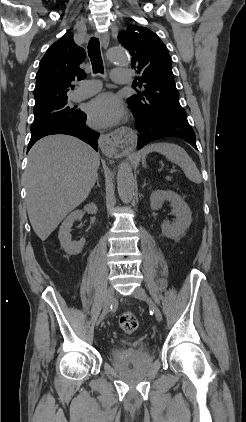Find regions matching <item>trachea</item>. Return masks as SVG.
<instances>
[{"label": "trachea", "instance_id": "1", "mask_svg": "<svg viewBox=\"0 0 246 422\" xmlns=\"http://www.w3.org/2000/svg\"><path fill=\"white\" fill-rule=\"evenodd\" d=\"M88 55L92 64V69L94 73H103V62L100 52V43L99 39L92 37L88 43Z\"/></svg>", "mask_w": 246, "mask_h": 422}]
</instances>
